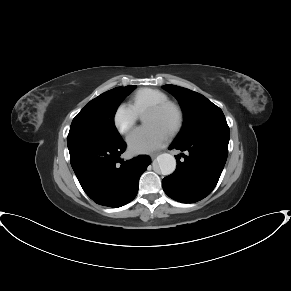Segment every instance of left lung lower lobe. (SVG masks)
<instances>
[{"label": "left lung lower lobe", "instance_id": "left-lung-lower-lobe-1", "mask_svg": "<svg viewBox=\"0 0 291 291\" xmlns=\"http://www.w3.org/2000/svg\"><path fill=\"white\" fill-rule=\"evenodd\" d=\"M229 133L204 136L186 143L173 142L169 149H178L184 161H179L176 170L162 180L165 193L182 203H194L209 195L215 188L224 168Z\"/></svg>", "mask_w": 291, "mask_h": 291}]
</instances>
